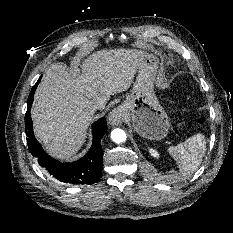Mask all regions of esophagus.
Listing matches in <instances>:
<instances>
[{
    "instance_id": "obj_1",
    "label": "esophagus",
    "mask_w": 233,
    "mask_h": 233,
    "mask_svg": "<svg viewBox=\"0 0 233 233\" xmlns=\"http://www.w3.org/2000/svg\"><path fill=\"white\" fill-rule=\"evenodd\" d=\"M108 120L111 125H119L124 121V112L121 108L117 107L112 110L108 115Z\"/></svg>"
}]
</instances>
